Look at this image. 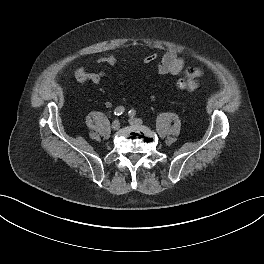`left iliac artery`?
<instances>
[{
	"instance_id": "44dca946",
	"label": "left iliac artery",
	"mask_w": 264,
	"mask_h": 264,
	"mask_svg": "<svg viewBox=\"0 0 264 264\" xmlns=\"http://www.w3.org/2000/svg\"><path fill=\"white\" fill-rule=\"evenodd\" d=\"M129 115H130L131 117H134V116L136 115V111H135L134 109H131V110L129 111Z\"/></svg>"
}]
</instances>
